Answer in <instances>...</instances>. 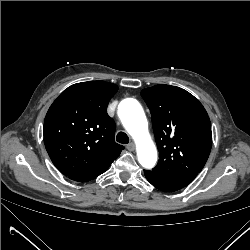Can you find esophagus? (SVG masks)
I'll list each match as a JSON object with an SVG mask.
<instances>
[{"mask_svg":"<svg viewBox=\"0 0 250 250\" xmlns=\"http://www.w3.org/2000/svg\"><path fill=\"white\" fill-rule=\"evenodd\" d=\"M126 148L129 151H133V150H135V144L133 142H130L129 144H127Z\"/></svg>","mask_w":250,"mask_h":250,"instance_id":"34e87169","label":"esophagus"}]
</instances>
